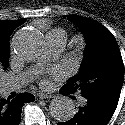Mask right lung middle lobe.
<instances>
[{"instance_id":"right-lung-middle-lobe-1","label":"right lung middle lobe","mask_w":125,"mask_h":125,"mask_svg":"<svg viewBox=\"0 0 125 125\" xmlns=\"http://www.w3.org/2000/svg\"><path fill=\"white\" fill-rule=\"evenodd\" d=\"M10 57L9 40L0 41V64L7 68Z\"/></svg>"}]
</instances>
